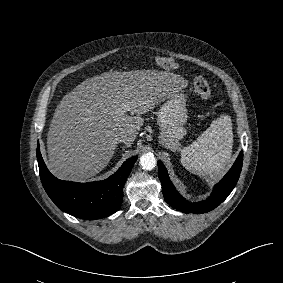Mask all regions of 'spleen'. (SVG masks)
Here are the masks:
<instances>
[{"instance_id": "obj_1", "label": "spleen", "mask_w": 283, "mask_h": 283, "mask_svg": "<svg viewBox=\"0 0 283 283\" xmlns=\"http://www.w3.org/2000/svg\"><path fill=\"white\" fill-rule=\"evenodd\" d=\"M232 147V120L223 114L196 141L182 149L181 163L193 174L215 175L229 163Z\"/></svg>"}]
</instances>
